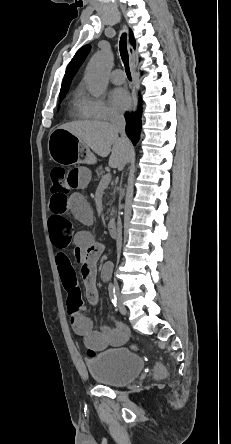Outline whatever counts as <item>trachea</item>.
<instances>
[{"instance_id": "trachea-1", "label": "trachea", "mask_w": 231, "mask_h": 444, "mask_svg": "<svg viewBox=\"0 0 231 444\" xmlns=\"http://www.w3.org/2000/svg\"><path fill=\"white\" fill-rule=\"evenodd\" d=\"M120 54H121V58L122 61L125 65V71H126V75L128 77L129 80H131V72H130V67H129V55H128V50H127V42H126V34H122L121 39H120Z\"/></svg>"}]
</instances>
